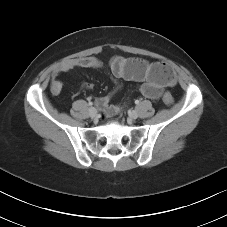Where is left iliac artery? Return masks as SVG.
Masks as SVG:
<instances>
[{"instance_id": "obj_1", "label": "left iliac artery", "mask_w": 227, "mask_h": 227, "mask_svg": "<svg viewBox=\"0 0 227 227\" xmlns=\"http://www.w3.org/2000/svg\"><path fill=\"white\" fill-rule=\"evenodd\" d=\"M135 104H137V105H138V104H139V100H135Z\"/></svg>"}]
</instances>
